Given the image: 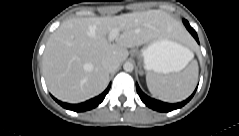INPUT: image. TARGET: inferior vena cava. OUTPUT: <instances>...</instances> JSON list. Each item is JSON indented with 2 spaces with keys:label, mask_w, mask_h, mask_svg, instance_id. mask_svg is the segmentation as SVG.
Returning <instances> with one entry per match:
<instances>
[{
  "label": "inferior vena cava",
  "mask_w": 239,
  "mask_h": 136,
  "mask_svg": "<svg viewBox=\"0 0 239 136\" xmlns=\"http://www.w3.org/2000/svg\"><path fill=\"white\" fill-rule=\"evenodd\" d=\"M120 63L117 59H105L102 62V66L109 72L115 71L119 67Z\"/></svg>",
  "instance_id": "obj_1"
}]
</instances>
